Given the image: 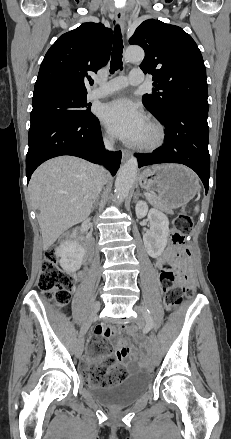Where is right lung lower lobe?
<instances>
[{"label":"right lung lower lobe","instance_id":"1","mask_svg":"<svg viewBox=\"0 0 231 439\" xmlns=\"http://www.w3.org/2000/svg\"><path fill=\"white\" fill-rule=\"evenodd\" d=\"M28 145L27 181L41 163L56 156L72 155L93 163L104 162L112 175L121 162V151L105 150L96 116H66L30 127Z\"/></svg>","mask_w":231,"mask_h":439}]
</instances>
